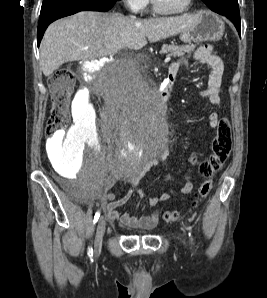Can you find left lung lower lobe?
I'll return each instance as SVG.
<instances>
[{"label": "left lung lower lobe", "instance_id": "left-lung-lower-lobe-1", "mask_svg": "<svg viewBox=\"0 0 267 298\" xmlns=\"http://www.w3.org/2000/svg\"><path fill=\"white\" fill-rule=\"evenodd\" d=\"M217 13L228 17L233 22V24L237 28L238 32L240 33L241 22H240L239 7L231 6L229 9H227L225 11H217Z\"/></svg>", "mask_w": 267, "mask_h": 298}]
</instances>
